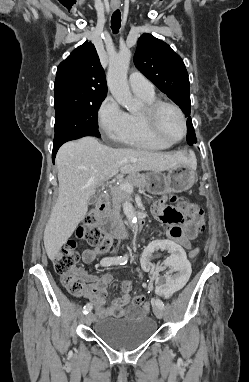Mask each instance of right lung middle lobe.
I'll return each instance as SVG.
<instances>
[{"mask_svg":"<svg viewBox=\"0 0 249 382\" xmlns=\"http://www.w3.org/2000/svg\"><path fill=\"white\" fill-rule=\"evenodd\" d=\"M104 98L55 107L54 143L79 136L100 137L97 111Z\"/></svg>","mask_w":249,"mask_h":382,"instance_id":"obj_1","label":"right lung middle lobe"}]
</instances>
